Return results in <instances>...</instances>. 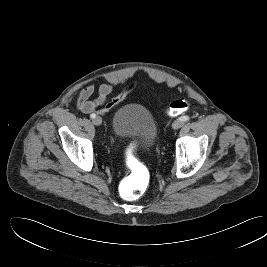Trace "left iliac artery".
<instances>
[{
    "mask_svg": "<svg viewBox=\"0 0 267 267\" xmlns=\"http://www.w3.org/2000/svg\"><path fill=\"white\" fill-rule=\"evenodd\" d=\"M179 119L182 121H189L190 117L185 115V116L180 117Z\"/></svg>",
    "mask_w": 267,
    "mask_h": 267,
    "instance_id": "left-iliac-artery-1",
    "label": "left iliac artery"
}]
</instances>
